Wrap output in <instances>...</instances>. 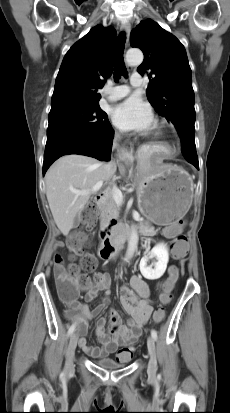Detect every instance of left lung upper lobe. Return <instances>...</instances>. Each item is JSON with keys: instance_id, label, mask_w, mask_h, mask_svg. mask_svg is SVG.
<instances>
[{"instance_id": "left-lung-upper-lobe-1", "label": "left lung upper lobe", "mask_w": 230, "mask_h": 413, "mask_svg": "<svg viewBox=\"0 0 230 413\" xmlns=\"http://www.w3.org/2000/svg\"><path fill=\"white\" fill-rule=\"evenodd\" d=\"M131 46L144 53L137 71L149 76L146 95L151 105L175 125L180 138L183 134L194 138L192 72L184 46L151 19L141 21L132 30ZM192 149L196 150L195 145Z\"/></svg>"}]
</instances>
